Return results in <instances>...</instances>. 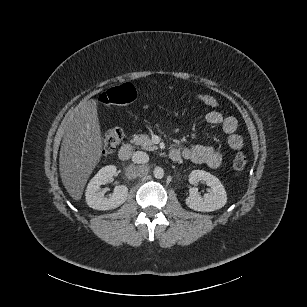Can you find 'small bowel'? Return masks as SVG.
I'll use <instances>...</instances> for the list:
<instances>
[{"instance_id": "1", "label": "small bowel", "mask_w": 307, "mask_h": 307, "mask_svg": "<svg viewBox=\"0 0 307 307\" xmlns=\"http://www.w3.org/2000/svg\"><path fill=\"white\" fill-rule=\"evenodd\" d=\"M206 120L212 125L221 126L223 131L230 135L228 144L231 149L236 150L240 145H244L243 138L235 134L238 123L234 117L224 116L221 112L212 110L207 113ZM174 150L177 153V158L174 161L186 159L210 168H217L223 160L222 153L211 145H194Z\"/></svg>"}]
</instances>
